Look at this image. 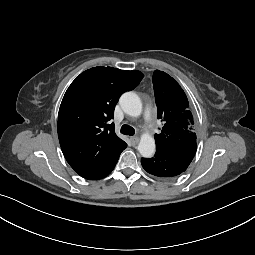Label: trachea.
Returning <instances> with one entry per match:
<instances>
[{
  "label": "trachea",
  "mask_w": 255,
  "mask_h": 255,
  "mask_svg": "<svg viewBox=\"0 0 255 255\" xmlns=\"http://www.w3.org/2000/svg\"><path fill=\"white\" fill-rule=\"evenodd\" d=\"M120 131H121V133L124 134V135H130V136H132V135L135 134L134 128L131 127V126H129V125H126V124L122 125Z\"/></svg>",
  "instance_id": "3493384b"
}]
</instances>
